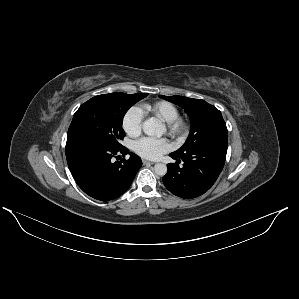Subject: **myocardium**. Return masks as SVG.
<instances>
[{
  "label": "myocardium",
  "instance_id": "obj_1",
  "mask_svg": "<svg viewBox=\"0 0 299 299\" xmlns=\"http://www.w3.org/2000/svg\"><path fill=\"white\" fill-rule=\"evenodd\" d=\"M167 133L173 138H183L187 135L189 130L188 122L183 118H176L172 122L165 123Z\"/></svg>",
  "mask_w": 299,
  "mask_h": 299
}]
</instances>
